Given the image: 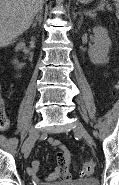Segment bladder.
Segmentation results:
<instances>
[{"mask_svg": "<svg viewBox=\"0 0 119 185\" xmlns=\"http://www.w3.org/2000/svg\"><path fill=\"white\" fill-rule=\"evenodd\" d=\"M54 185H99V182L94 178H90V179L76 180L65 184H54Z\"/></svg>", "mask_w": 119, "mask_h": 185, "instance_id": "1", "label": "bladder"}]
</instances>
